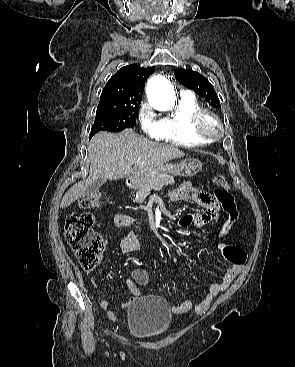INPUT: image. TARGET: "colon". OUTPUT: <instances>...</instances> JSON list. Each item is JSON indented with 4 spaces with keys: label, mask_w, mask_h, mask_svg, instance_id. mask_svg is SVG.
<instances>
[{
    "label": "colon",
    "mask_w": 295,
    "mask_h": 367,
    "mask_svg": "<svg viewBox=\"0 0 295 367\" xmlns=\"http://www.w3.org/2000/svg\"><path fill=\"white\" fill-rule=\"evenodd\" d=\"M213 184L217 188L211 191L213 196L222 204L231 220H235L238 211L234 197L229 191V185L223 176L213 179ZM100 204V194L92 193L79 199V206L84 209L98 207ZM189 218L183 219V224L187 225ZM95 218L90 213H71L65 220V236L77 261L81 267L87 271L96 268L104 249L102 238L94 232ZM179 231L184 229L182 224L177 226ZM226 259L233 265H242L246 260L245 250L236 245H228L224 248Z\"/></svg>",
    "instance_id": "obj_1"
}]
</instances>
